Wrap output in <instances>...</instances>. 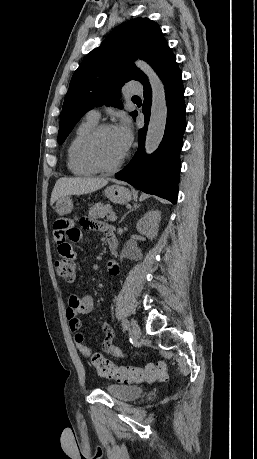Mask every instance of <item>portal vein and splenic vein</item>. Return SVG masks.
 Listing matches in <instances>:
<instances>
[{"label":"portal vein and splenic vein","mask_w":257,"mask_h":459,"mask_svg":"<svg viewBox=\"0 0 257 459\" xmlns=\"http://www.w3.org/2000/svg\"><path fill=\"white\" fill-rule=\"evenodd\" d=\"M107 219L112 221V222H114V221H116L117 217H116L115 214H109V215H107Z\"/></svg>","instance_id":"portal-vein-and-splenic-vein-1"}]
</instances>
